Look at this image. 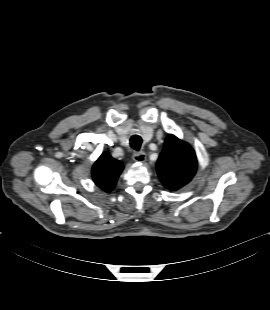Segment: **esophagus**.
Returning a JSON list of instances; mask_svg holds the SVG:
<instances>
[{
  "mask_svg": "<svg viewBox=\"0 0 270 310\" xmlns=\"http://www.w3.org/2000/svg\"><path fill=\"white\" fill-rule=\"evenodd\" d=\"M146 153L145 152H135L133 154V160L136 162H144L146 160Z\"/></svg>",
  "mask_w": 270,
  "mask_h": 310,
  "instance_id": "1",
  "label": "esophagus"
}]
</instances>
